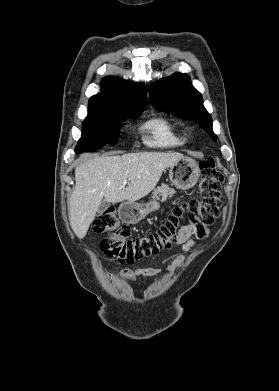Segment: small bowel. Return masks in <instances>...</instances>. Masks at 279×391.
<instances>
[{
	"instance_id": "1",
	"label": "small bowel",
	"mask_w": 279,
	"mask_h": 391,
	"mask_svg": "<svg viewBox=\"0 0 279 391\" xmlns=\"http://www.w3.org/2000/svg\"><path fill=\"white\" fill-rule=\"evenodd\" d=\"M196 234V228L192 224L183 225L179 231L177 237V246L183 251H189L195 244L193 235ZM185 261V256L179 255L173 263L168 267L169 270H174L179 267ZM160 272L159 268H142V269H123L119 272L118 277L120 279L137 280L139 278H145L155 275Z\"/></svg>"
}]
</instances>
